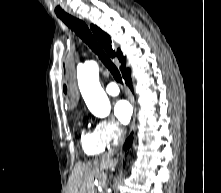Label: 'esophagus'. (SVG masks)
I'll return each instance as SVG.
<instances>
[{
    "mask_svg": "<svg viewBox=\"0 0 221 193\" xmlns=\"http://www.w3.org/2000/svg\"><path fill=\"white\" fill-rule=\"evenodd\" d=\"M135 119H136V108L134 107L133 119H132V123L130 124L132 128H130V131H133V127L135 125Z\"/></svg>",
    "mask_w": 221,
    "mask_h": 193,
    "instance_id": "34e87169",
    "label": "esophagus"
}]
</instances>
